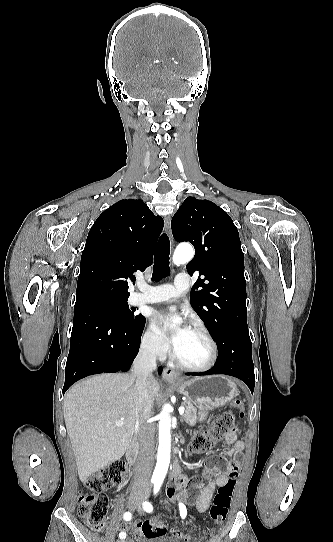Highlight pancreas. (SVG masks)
Returning a JSON list of instances; mask_svg holds the SVG:
<instances>
[{"label":"pancreas","instance_id":"1","mask_svg":"<svg viewBox=\"0 0 333 542\" xmlns=\"http://www.w3.org/2000/svg\"><path fill=\"white\" fill-rule=\"evenodd\" d=\"M182 406L185 408V414L181 416L182 420L189 426H195L197 424V408L191 402H183Z\"/></svg>","mask_w":333,"mask_h":542}]
</instances>
